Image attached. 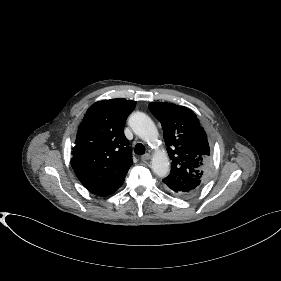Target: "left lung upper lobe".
I'll list each match as a JSON object with an SVG mask.
<instances>
[{"label": "left lung upper lobe", "mask_w": 281, "mask_h": 281, "mask_svg": "<svg viewBox=\"0 0 281 281\" xmlns=\"http://www.w3.org/2000/svg\"><path fill=\"white\" fill-rule=\"evenodd\" d=\"M149 109L160 121L171 159L165 186L185 197L193 196L207 181L212 158L207 135L194 112L172 103H150Z\"/></svg>", "instance_id": "obj_1"}]
</instances>
